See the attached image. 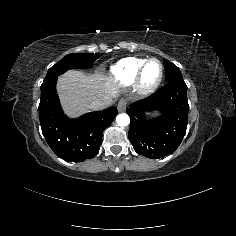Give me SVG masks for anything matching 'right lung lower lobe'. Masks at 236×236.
Here are the masks:
<instances>
[{
	"label": "right lung lower lobe",
	"instance_id": "98d812e1",
	"mask_svg": "<svg viewBox=\"0 0 236 236\" xmlns=\"http://www.w3.org/2000/svg\"><path fill=\"white\" fill-rule=\"evenodd\" d=\"M59 75L46 76L41 85L39 116L42 133L57 156L69 162H82L98 153L103 131L112 123L118 111L116 107H110L69 119L63 113L56 93Z\"/></svg>",
	"mask_w": 236,
	"mask_h": 236
}]
</instances>
